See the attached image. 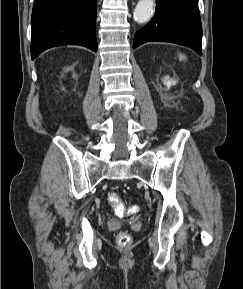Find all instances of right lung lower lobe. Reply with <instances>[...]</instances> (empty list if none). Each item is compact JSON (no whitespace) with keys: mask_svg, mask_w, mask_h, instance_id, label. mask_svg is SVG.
<instances>
[{"mask_svg":"<svg viewBox=\"0 0 243 289\" xmlns=\"http://www.w3.org/2000/svg\"><path fill=\"white\" fill-rule=\"evenodd\" d=\"M31 23L32 59L59 45L97 50L96 0H35Z\"/></svg>","mask_w":243,"mask_h":289,"instance_id":"98d812e1","label":"right lung lower lobe"}]
</instances>
